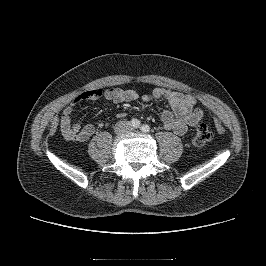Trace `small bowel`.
<instances>
[{"label": "small bowel", "mask_w": 266, "mask_h": 266, "mask_svg": "<svg viewBox=\"0 0 266 266\" xmlns=\"http://www.w3.org/2000/svg\"><path fill=\"white\" fill-rule=\"evenodd\" d=\"M104 97L113 103H129L136 101L139 94L130 89L109 88L91 89L83 92L78 98L68 105L60 116V130L65 139L76 142H85L95 133L92 123L81 125L72 120L73 114L87 102L96 101ZM163 100L168 103L169 109L162 111L160 119L162 126L176 135H184L190 127L195 126L204 117V110L199 106L193 95H185L169 88L158 87L151 93L143 94L141 100ZM123 117V113H119Z\"/></svg>", "instance_id": "1"}]
</instances>
